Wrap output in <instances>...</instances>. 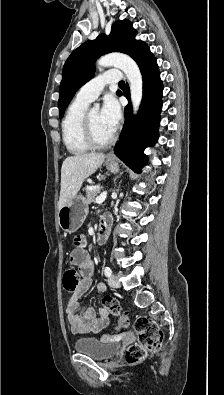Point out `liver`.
<instances>
[{"label":"liver","instance_id":"1","mask_svg":"<svg viewBox=\"0 0 224 395\" xmlns=\"http://www.w3.org/2000/svg\"><path fill=\"white\" fill-rule=\"evenodd\" d=\"M104 159L103 153H81L69 156L63 161L59 209L77 195L85 179L102 165Z\"/></svg>","mask_w":224,"mask_h":395}]
</instances>
